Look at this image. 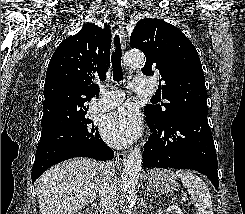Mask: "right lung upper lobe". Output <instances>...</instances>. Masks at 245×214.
Returning a JSON list of instances; mask_svg holds the SVG:
<instances>
[{
    "instance_id": "cb5924a9",
    "label": "right lung upper lobe",
    "mask_w": 245,
    "mask_h": 214,
    "mask_svg": "<svg viewBox=\"0 0 245 214\" xmlns=\"http://www.w3.org/2000/svg\"><path fill=\"white\" fill-rule=\"evenodd\" d=\"M111 31L87 23L61 42L48 65L44 84L42 130L58 127L87 112L85 102L99 96L96 81L110 67Z\"/></svg>"
}]
</instances>
